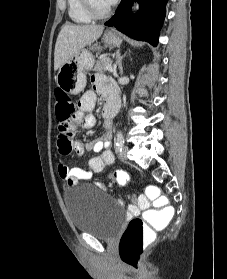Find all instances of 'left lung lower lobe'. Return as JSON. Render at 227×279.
Listing matches in <instances>:
<instances>
[{
	"label": "left lung lower lobe",
	"mask_w": 227,
	"mask_h": 279,
	"mask_svg": "<svg viewBox=\"0 0 227 279\" xmlns=\"http://www.w3.org/2000/svg\"><path fill=\"white\" fill-rule=\"evenodd\" d=\"M168 0H138L139 11L130 14L131 0H122L115 15L105 23L137 40H143L156 46L159 31L166 15Z\"/></svg>",
	"instance_id": "left-lung-lower-lobe-1"
}]
</instances>
